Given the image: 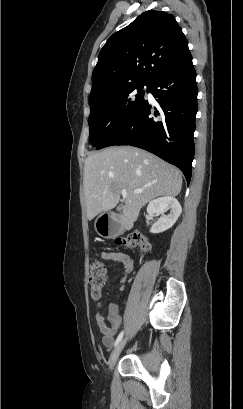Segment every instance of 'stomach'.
<instances>
[{"instance_id": "0dacf381", "label": "stomach", "mask_w": 243, "mask_h": 409, "mask_svg": "<svg viewBox=\"0 0 243 409\" xmlns=\"http://www.w3.org/2000/svg\"><path fill=\"white\" fill-rule=\"evenodd\" d=\"M101 219H102V215H100V216L96 219L95 225H94L95 230H96V232H97L100 236L105 237V238H109V237H111L113 234H112V232L110 231V229L108 228V225H107V226L104 225V223L101 221Z\"/></svg>"}]
</instances>
